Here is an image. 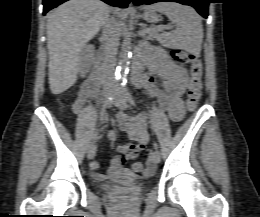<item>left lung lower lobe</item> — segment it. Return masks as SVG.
I'll list each match as a JSON object with an SVG mask.
<instances>
[{"label":"left lung lower lobe","instance_id":"1","mask_svg":"<svg viewBox=\"0 0 260 217\" xmlns=\"http://www.w3.org/2000/svg\"><path fill=\"white\" fill-rule=\"evenodd\" d=\"M136 5L141 4H152L156 2H178L184 5H190L194 7L200 15L204 18L208 17V4L211 3L210 0H131Z\"/></svg>","mask_w":260,"mask_h":217}]
</instances>
